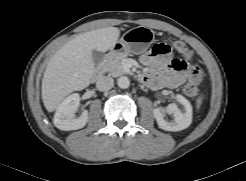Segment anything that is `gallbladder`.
<instances>
[{"mask_svg": "<svg viewBox=\"0 0 246 181\" xmlns=\"http://www.w3.org/2000/svg\"><path fill=\"white\" fill-rule=\"evenodd\" d=\"M104 55L105 54L101 51L93 50L92 51V59H93L94 64H96V65L100 64L104 58Z\"/></svg>", "mask_w": 246, "mask_h": 181, "instance_id": "gallbladder-1", "label": "gallbladder"}]
</instances>
